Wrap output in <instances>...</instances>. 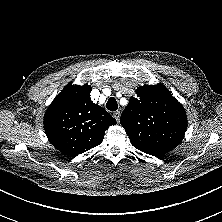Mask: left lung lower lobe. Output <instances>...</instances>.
I'll return each instance as SVG.
<instances>
[{
	"mask_svg": "<svg viewBox=\"0 0 222 222\" xmlns=\"http://www.w3.org/2000/svg\"><path fill=\"white\" fill-rule=\"evenodd\" d=\"M135 148H137L138 150L146 154H149L155 157H162L164 154L170 151L166 149H147V148H140V147H135Z\"/></svg>",
	"mask_w": 222,
	"mask_h": 222,
	"instance_id": "left-lung-lower-lobe-1",
	"label": "left lung lower lobe"
}]
</instances>
